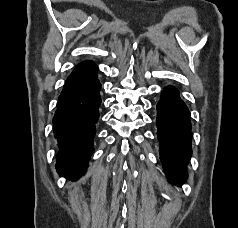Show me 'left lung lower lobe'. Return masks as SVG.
Returning <instances> with one entry per match:
<instances>
[{"label": "left lung lower lobe", "mask_w": 238, "mask_h": 228, "mask_svg": "<svg viewBox=\"0 0 238 228\" xmlns=\"http://www.w3.org/2000/svg\"><path fill=\"white\" fill-rule=\"evenodd\" d=\"M158 140L160 159L169 181L183 184L186 166L192 154L190 113L173 86L162 91L157 104Z\"/></svg>", "instance_id": "1"}]
</instances>
